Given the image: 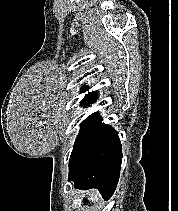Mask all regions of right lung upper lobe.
<instances>
[{
    "instance_id": "1",
    "label": "right lung upper lobe",
    "mask_w": 178,
    "mask_h": 211,
    "mask_svg": "<svg viewBox=\"0 0 178 211\" xmlns=\"http://www.w3.org/2000/svg\"><path fill=\"white\" fill-rule=\"evenodd\" d=\"M87 87L85 86L83 89H81V91H86ZM98 96L97 93L95 91L88 93L85 98L81 101L82 104H90L93 103L95 100H97Z\"/></svg>"
}]
</instances>
